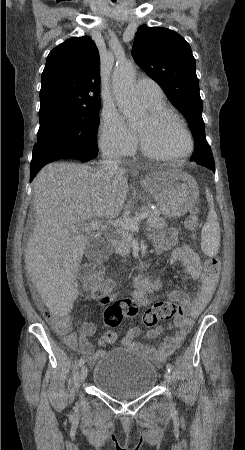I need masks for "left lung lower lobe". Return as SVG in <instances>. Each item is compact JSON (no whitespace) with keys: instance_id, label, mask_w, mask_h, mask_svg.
I'll list each match as a JSON object with an SVG mask.
<instances>
[{"instance_id":"obj_1","label":"left lung lower lobe","mask_w":245,"mask_h":450,"mask_svg":"<svg viewBox=\"0 0 245 450\" xmlns=\"http://www.w3.org/2000/svg\"><path fill=\"white\" fill-rule=\"evenodd\" d=\"M198 149H199V153L195 154V157H202L203 155L209 154V162L199 163V164H202V165L208 167L209 169H211L213 172H215L214 159H213L212 151L209 148V146H201ZM200 154H202V155H200Z\"/></svg>"}]
</instances>
